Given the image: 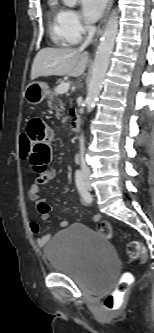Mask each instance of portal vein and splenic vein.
Segmentation results:
<instances>
[{"mask_svg":"<svg viewBox=\"0 0 154 333\" xmlns=\"http://www.w3.org/2000/svg\"><path fill=\"white\" fill-rule=\"evenodd\" d=\"M70 88V83L66 82V83H61L60 85L57 86V88L55 89L57 94H63L66 93Z\"/></svg>","mask_w":154,"mask_h":333,"instance_id":"1","label":"portal vein and splenic vein"}]
</instances>
